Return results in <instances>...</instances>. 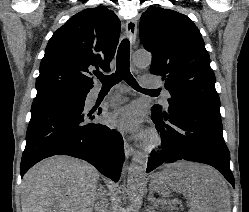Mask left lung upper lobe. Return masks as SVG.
Returning a JSON list of instances; mask_svg holds the SVG:
<instances>
[{
	"mask_svg": "<svg viewBox=\"0 0 249 212\" xmlns=\"http://www.w3.org/2000/svg\"><path fill=\"white\" fill-rule=\"evenodd\" d=\"M140 39L152 53L150 73L165 79L171 98L220 107L215 75L201 33L186 16L151 6L140 19Z\"/></svg>",
	"mask_w": 249,
	"mask_h": 212,
	"instance_id": "1",
	"label": "left lung upper lobe"
}]
</instances>
